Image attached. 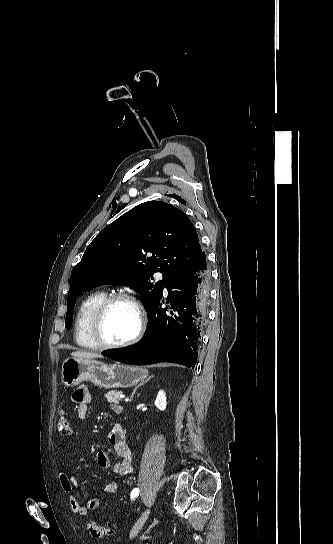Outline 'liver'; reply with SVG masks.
Instances as JSON below:
<instances>
[{"instance_id": "obj_1", "label": "liver", "mask_w": 333, "mask_h": 544, "mask_svg": "<svg viewBox=\"0 0 333 544\" xmlns=\"http://www.w3.org/2000/svg\"><path fill=\"white\" fill-rule=\"evenodd\" d=\"M71 356L73 358H79V359H94V358H102L100 354L93 353V352H87V351H75L71 353Z\"/></svg>"}]
</instances>
